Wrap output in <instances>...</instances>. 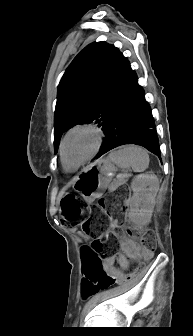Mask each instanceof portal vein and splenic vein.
<instances>
[{
  "instance_id": "18ae733b",
  "label": "portal vein and splenic vein",
  "mask_w": 193,
  "mask_h": 336,
  "mask_svg": "<svg viewBox=\"0 0 193 336\" xmlns=\"http://www.w3.org/2000/svg\"><path fill=\"white\" fill-rule=\"evenodd\" d=\"M120 176H125V175H118V177H120Z\"/></svg>"
}]
</instances>
